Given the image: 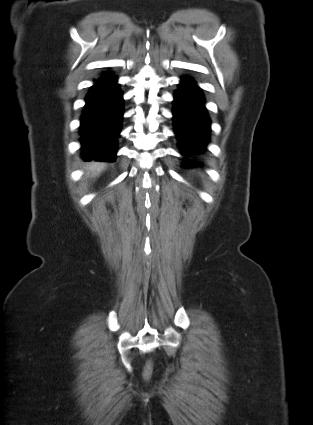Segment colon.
Segmentation results:
<instances>
[{
	"label": "colon",
	"instance_id": "obj_1",
	"mask_svg": "<svg viewBox=\"0 0 313 425\" xmlns=\"http://www.w3.org/2000/svg\"><path fill=\"white\" fill-rule=\"evenodd\" d=\"M151 371H152L151 363H147L146 366H145V368H144V376L146 378H148L150 376V374H151Z\"/></svg>",
	"mask_w": 313,
	"mask_h": 425
}]
</instances>
